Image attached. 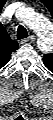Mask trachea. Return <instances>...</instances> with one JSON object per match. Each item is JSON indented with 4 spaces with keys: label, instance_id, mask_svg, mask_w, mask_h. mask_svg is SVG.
Segmentation results:
<instances>
[{
    "label": "trachea",
    "instance_id": "3493384b",
    "mask_svg": "<svg viewBox=\"0 0 53 120\" xmlns=\"http://www.w3.org/2000/svg\"><path fill=\"white\" fill-rule=\"evenodd\" d=\"M28 37V32L24 26L20 25L17 29V39L21 40Z\"/></svg>",
    "mask_w": 53,
    "mask_h": 120
}]
</instances>
